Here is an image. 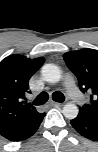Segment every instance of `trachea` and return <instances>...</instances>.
I'll return each instance as SVG.
<instances>
[{
  "label": "trachea",
  "mask_w": 98,
  "mask_h": 152,
  "mask_svg": "<svg viewBox=\"0 0 98 152\" xmlns=\"http://www.w3.org/2000/svg\"><path fill=\"white\" fill-rule=\"evenodd\" d=\"M48 94L46 92H41L33 101V104L35 105H42L45 104L48 101ZM52 99L56 102H63L65 100V96L61 92H54L52 94Z\"/></svg>",
  "instance_id": "trachea-1"
}]
</instances>
